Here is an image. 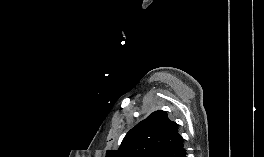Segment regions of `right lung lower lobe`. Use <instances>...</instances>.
<instances>
[{"mask_svg": "<svg viewBox=\"0 0 264 157\" xmlns=\"http://www.w3.org/2000/svg\"><path fill=\"white\" fill-rule=\"evenodd\" d=\"M182 157H187V156H186V152L183 153Z\"/></svg>", "mask_w": 264, "mask_h": 157, "instance_id": "obj_1", "label": "right lung lower lobe"}]
</instances>
